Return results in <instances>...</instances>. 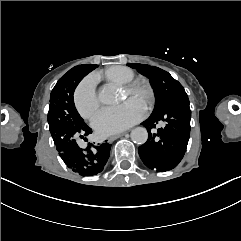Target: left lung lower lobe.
Returning a JSON list of instances; mask_svg holds the SVG:
<instances>
[{"mask_svg": "<svg viewBox=\"0 0 241 241\" xmlns=\"http://www.w3.org/2000/svg\"><path fill=\"white\" fill-rule=\"evenodd\" d=\"M191 110L188 96H180L159 112L151 114L142 125L148 130L149 137L138 148L140 158L150 169L165 172L176 167L182 160L190 135ZM159 121L166 122L164 128L152 134Z\"/></svg>", "mask_w": 241, "mask_h": 241, "instance_id": "obj_1", "label": "left lung lower lobe"}]
</instances>
